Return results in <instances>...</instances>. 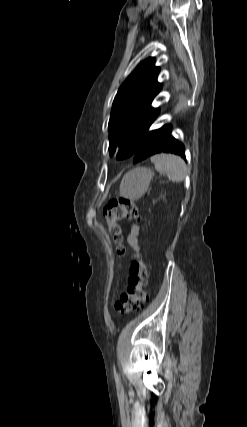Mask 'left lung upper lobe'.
I'll return each instance as SVG.
<instances>
[{
    "label": "left lung upper lobe",
    "mask_w": 247,
    "mask_h": 427,
    "mask_svg": "<svg viewBox=\"0 0 247 427\" xmlns=\"http://www.w3.org/2000/svg\"><path fill=\"white\" fill-rule=\"evenodd\" d=\"M160 68L150 57L141 62L119 88L109 120V152L117 159L135 156L145 133L158 116L151 102L162 85L157 82Z\"/></svg>",
    "instance_id": "1"
}]
</instances>
